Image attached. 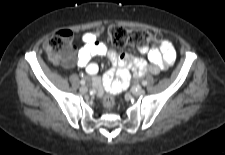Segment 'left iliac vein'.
<instances>
[{"label": "left iliac vein", "instance_id": "obj_1", "mask_svg": "<svg viewBox=\"0 0 225 155\" xmlns=\"http://www.w3.org/2000/svg\"><path fill=\"white\" fill-rule=\"evenodd\" d=\"M133 94L135 96H141V95L145 94V90L140 88V89H137V90L133 91Z\"/></svg>", "mask_w": 225, "mask_h": 155}]
</instances>
